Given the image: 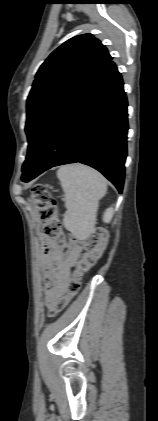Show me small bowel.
<instances>
[{"label":"small bowel","instance_id":"1","mask_svg":"<svg viewBox=\"0 0 158 421\" xmlns=\"http://www.w3.org/2000/svg\"><path fill=\"white\" fill-rule=\"evenodd\" d=\"M81 248H73L69 257H64L58 245L51 239H43L42 268L44 276L45 304L53 308L66 293V285L71 276Z\"/></svg>","mask_w":158,"mask_h":421}]
</instances>
